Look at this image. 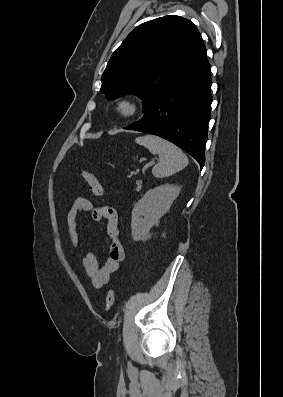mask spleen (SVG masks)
<instances>
[{"label":"spleen","mask_w":283,"mask_h":397,"mask_svg":"<svg viewBox=\"0 0 283 397\" xmlns=\"http://www.w3.org/2000/svg\"><path fill=\"white\" fill-rule=\"evenodd\" d=\"M135 142L160 157L159 163L152 169V173L156 178L169 177L188 165V158L184 152L163 138L145 135L137 137Z\"/></svg>","instance_id":"obj_1"}]
</instances>
